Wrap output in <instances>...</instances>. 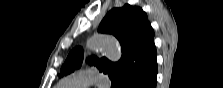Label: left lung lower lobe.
Listing matches in <instances>:
<instances>
[{"label":"left lung lower lobe","mask_w":223,"mask_h":88,"mask_svg":"<svg viewBox=\"0 0 223 88\" xmlns=\"http://www.w3.org/2000/svg\"><path fill=\"white\" fill-rule=\"evenodd\" d=\"M157 62L154 59L142 72L131 75L116 88H156Z\"/></svg>","instance_id":"left-lung-lower-lobe-1"}]
</instances>
